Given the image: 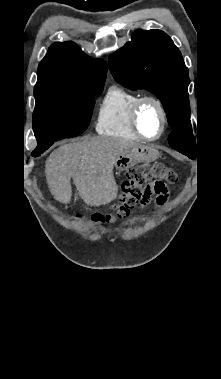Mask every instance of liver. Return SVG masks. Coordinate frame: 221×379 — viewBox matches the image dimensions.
Masks as SVG:
<instances>
[{"label":"liver","instance_id":"obj_1","mask_svg":"<svg viewBox=\"0 0 221 379\" xmlns=\"http://www.w3.org/2000/svg\"><path fill=\"white\" fill-rule=\"evenodd\" d=\"M137 145L128 140L98 136L60 146L50 154L45 165L52 195L61 203H69L72 178L87 205L109 204L118 193L113 166L120 154Z\"/></svg>","mask_w":221,"mask_h":379}]
</instances>
